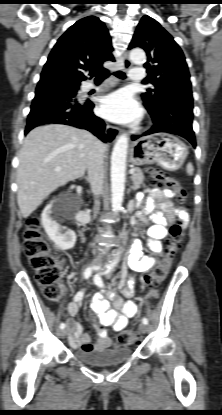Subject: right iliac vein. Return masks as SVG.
I'll use <instances>...</instances> for the list:
<instances>
[{"instance_id":"obj_1","label":"right iliac vein","mask_w":222,"mask_h":415,"mask_svg":"<svg viewBox=\"0 0 222 415\" xmlns=\"http://www.w3.org/2000/svg\"><path fill=\"white\" fill-rule=\"evenodd\" d=\"M67 334H68V329H63V330L60 331V336L62 338H65L67 336Z\"/></svg>"}]
</instances>
